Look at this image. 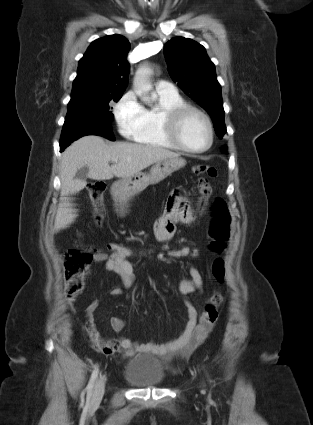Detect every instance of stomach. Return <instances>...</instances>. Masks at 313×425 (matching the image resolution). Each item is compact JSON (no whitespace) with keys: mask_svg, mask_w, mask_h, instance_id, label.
Wrapping results in <instances>:
<instances>
[{"mask_svg":"<svg viewBox=\"0 0 313 425\" xmlns=\"http://www.w3.org/2000/svg\"><path fill=\"white\" fill-rule=\"evenodd\" d=\"M185 165V159L179 157L159 161L151 167L149 173L140 172L116 181L112 186L113 195L118 201H128L149 185L158 184Z\"/></svg>","mask_w":313,"mask_h":425,"instance_id":"obj_1","label":"stomach"}]
</instances>
